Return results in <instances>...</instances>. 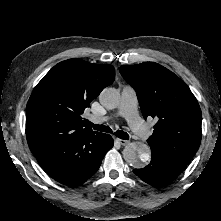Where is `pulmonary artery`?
Instances as JSON below:
<instances>
[{
  "label": "pulmonary artery",
  "mask_w": 221,
  "mask_h": 221,
  "mask_svg": "<svg viewBox=\"0 0 221 221\" xmlns=\"http://www.w3.org/2000/svg\"><path fill=\"white\" fill-rule=\"evenodd\" d=\"M116 115L125 117L132 131L141 139L147 140L151 131L140 119L137 113V94L131 86H125L122 90L121 103ZM112 116L96 117L91 116L90 120L94 123H104L110 120Z\"/></svg>",
  "instance_id": "obj_1"
}]
</instances>
